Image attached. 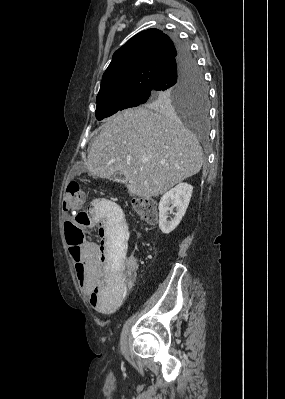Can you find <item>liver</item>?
<instances>
[{
  "label": "liver",
  "instance_id": "1",
  "mask_svg": "<svg viewBox=\"0 0 285 399\" xmlns=\"http://www.w3.org/2000/svg\"><path fill=\"white\" fill-rule=\"evenodd\" d=\"M202 148L173 113L124 110L106 120L88 150V171L110 179L124 176L128 193L157 197L197 174Z\"/></svg>",
  "mask_w": 285,
  "mask_h": 399
}]
</instances>
